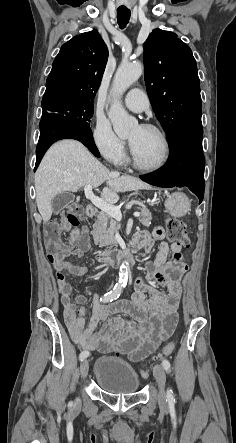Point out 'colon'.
Returning a JSON list of instances; mask_svg holds the SVG:
<instances>
[{
    "label": "colon",
    "instance_id": "5ec220e1",
    "mask_svg": "<svg viewBox=\"0 0 236 443\" xmlns=\"http://www.w3.org/2000/svg\"><path fill=\"white\" fill-rule=\"evenodd\" d=\"M66 213L67 225L77 227L79 225L80 216L82 215L81 206L77 203H70L67 206ZM62 228L63 227L59 223L51 222L48 224L45 232L49 255L56 260H63V258L66 256L61 243L58 241V237L61 233ZM165 231L167 237L177 245L183 247L189 246V239L187 237L186 227L182 221L168 217L165 222ZM175 346V341H169L159 352L152 356V359L155 360L163 356H168L172 354ZM125 350L126 349L124 347H109L104 351V353L109 355H121ZM140 373L142 377H147L149 374L147 366H144L141 369Z\"/></svg>",
    "mask_w": 236,
    "mask_h": 443
}]
</instances>
